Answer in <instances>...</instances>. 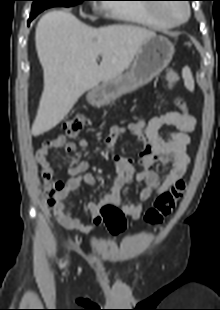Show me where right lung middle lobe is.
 <instances>
[{
  "label": "right lung middle lobe",
  "mask_w": 220,
  "mask_h": 310,
  "mask_svg": "<svg viewBox=\"0 0 220 310\" xmlns=\"http://www.w3.org/2000/svg\"><path fill=\"white\" fill-rule=\"evenodd\" d=\"M31 14H39L43 10L54 6L70 7L87 0H32Z\"/></svg>",
  "instance_id": "1"
}]
</instances>
